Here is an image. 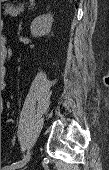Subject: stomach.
<instances>
[{
    "mask_svg": "<svg viewBox=\"0 0 109 170\" xmlns=\"http://www.w3.org/2000/svg\"><path fill=\"white\" fill-rule=\"evenodd\" d=\"M6 1H8V0H1V2H6Z\"/></svg>",
    "mask_w": 109,
    "mask_h": 170,
    "instance_id": "stomach-1",
    "label": "stomach"
}]
</instances>
